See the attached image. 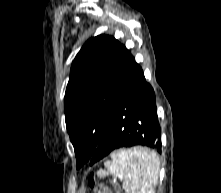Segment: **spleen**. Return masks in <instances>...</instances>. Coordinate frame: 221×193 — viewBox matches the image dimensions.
Here are the masks:
<instances>
[{
  "instance_id": "spleen-1",
  "label": "spleen",
  "mask_w": 221,
  "mask_h": 193,
  "mask_svg": "<svg viewBox=\"0 0 221 193\" xmlns=\"http://www.w3.org/2000/svg\"><path fill=\"white\" fill-rule=\"evenodd\" d=\"M111 159L104 163L106 170L97 172L99 178L107 174L119 178L126 193H155L160 168L156 152L140 146H125L112 152Z\"/></svg>"
}]
</instances>
